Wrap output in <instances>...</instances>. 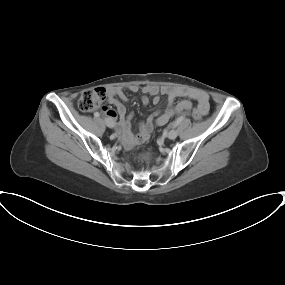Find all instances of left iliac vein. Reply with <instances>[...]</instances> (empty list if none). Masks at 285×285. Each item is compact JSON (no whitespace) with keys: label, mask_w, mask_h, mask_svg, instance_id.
<instances>
[{"label":"left iliac vein","mask_w":285,"mask_h":285,"mask_svg":"<svg viewBox=\"0 0 285 285\" xmlns=\"http://www.w3.org/2000/svg\"><path fill=\"white\" fill-rule=\"evenodd\" d=\"M178 133L175 129H172L168 132V138L169 139H175L177 137Z\"/></svg>","instance_id":"obj_1"}]
</instances>
